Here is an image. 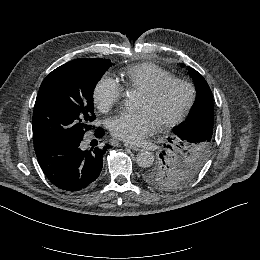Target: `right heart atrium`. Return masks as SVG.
I'll list each match as a JSON object with an SVG mask.
<instances>
[{"mask_svg": "<svg viewBox=\"0 0 260 260\" xmlns=\"http://www.w3.org/2000/svg\"><path fill=\"white\" fill-rule=\"evenodd\" d=\"M123 88L117 80L109 75H103L95 84L93 99L98 108L106 113L121 103Z\"/></svg>", "mask_w": 260, "mask_h": 260, "instance_id": "obj_1", "label": "right heart atrium"}]
</instances>
